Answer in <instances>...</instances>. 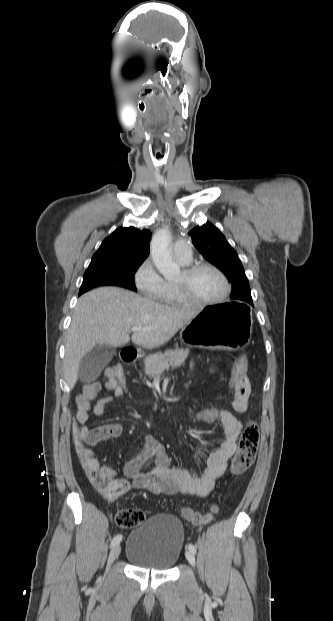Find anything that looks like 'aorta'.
I'll return each instance as SVG.
<instances>
[{"label":"aorta","mask_w":333,"mask_h":621,"mask_svg":"<svg viewBox=\"0 0 333 621\" xmlns=\"http://www.w3.org/2000/svg\"><path fill=\"white\" fill-rule=\"evenodd\" d=\"M170 232L167 229L157 231L150 243V253L156 268L164 277H174L180 274V267L171 258Z\"/></svg>","instance_id":"1"}]
</instances>
